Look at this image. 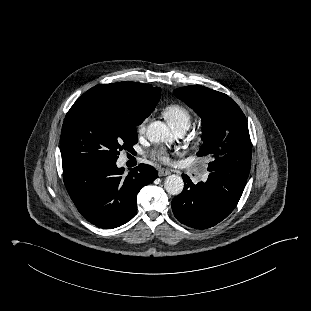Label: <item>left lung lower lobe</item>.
Segmentation results:
<instances>
[{"mask_svg": "<svg viewBox=\"0 0 311 311\" xmlns=\"http://www.w3.org/2000/svg\"><path fill=\"white\" fill-rule=\"evenodd\" d=\"M183 191L172 200V211L182 224L205 229L225 219L236 207L247 178L235 174L210 171L206 182L193 184L182 175Z\"/></svg>", "mask_w": 311, "mask_h": 311, "instance_id": "0a47b994", "label": "left lung lower lobe"}]
</instances>
